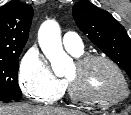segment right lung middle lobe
<instances>
[{"mask_svg": "<svg viewBox=\"0 0 131 115\" xmlns=\"http://www.w3.org/2000/svg\"><path fill=\"white\" fill-rule=\"evenodd\" d=\"M22 51L0 57V100L21 99L22 93L18 86V58Z\"/></svg>", "mask_w": 131, "mask_h": 115, "instance_id": "right-lung-middle-lobe-1", "label": "right lung middle lobe"}]
</instances>
